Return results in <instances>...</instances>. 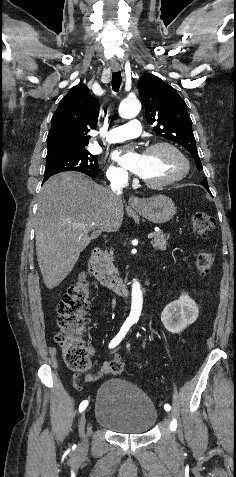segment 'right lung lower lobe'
Wrapping results in <instances>:
<instances>
[{"label":"right lung lower lobe","instance_id":"98d812e1","mask_svg":"<svg viewBox=\"0 0 236 477\" xmlns=\"http://www.w3.org/2000/svg\"><path fill=\"white\" fill-rule=\"evenodd\" d=\"M48 178H44L43 183L47 180Z\"/></svg>","mask_w":236,"mask_h":477}]
</instances>
